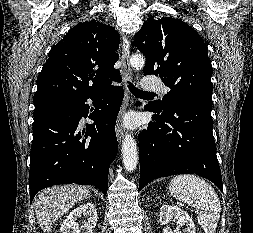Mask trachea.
Masks as SVG:
<instances>
[{
    "label": "trachea",
    "mask_w": 253,
    "mask_h": 233,
    "mask_svg": "<svg viewBox=\"0 0 253 233\" xmlns=\"http://www.w3.org/2000/svg\"><path fill=\"white\" fill-rule=\"evenodd\" d=\"M128 88L131 91V93L134 94L135 96H143V95L152 94V92H146V91L139 90L131 83L128 84Z\"/></svg>",
    "instance_id": "1"
}]
</instances>
